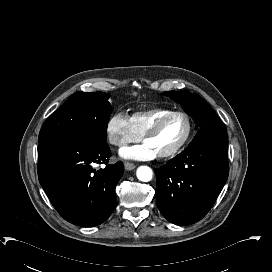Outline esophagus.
<instances>
[{"mask_svg": "<svg viewBox=\"0 0 272 272\" xmlns=\"http://www.w3.org/2000/svg\"><path fill=\"white\" fill-rule=\"evenodd\" d=\"M124 167L127 171L133 170L135 168V165L133 163L130 162H125L124 163Z\"/></svg>", "mask_w": 272, "mask_h": 272, "instance_id": "34e87169", "label": "esophagus"}]
</instances>
